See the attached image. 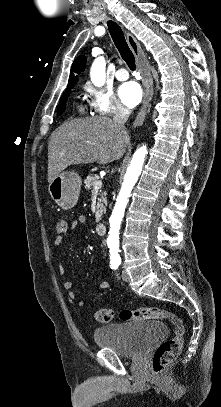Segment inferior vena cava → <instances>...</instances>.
Instances as JSON below:
<instances>
[{
	"instance_id": "inferior-vena-cava-1",
	"label": "inferior vena cava",
	"mask_w": 221,
	"mask_h": 407,
	"mask_svg": "<svg viewBox=\"0 0 221 407\" xmlns=\"http://www.w3.org/2000/svg\"><path fill=\"white\" fill-rule=\"evenodd\" d=\"M130 115L129 109L122 104H118L113 116V122L120 129L125 130L124 124Z\"/></svg>"
}]
</instances>
